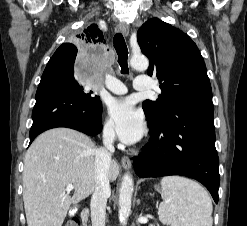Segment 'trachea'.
Segmentation results:
<instances>
[{
  "label": "trachea",
  "instance_id": "1",
  "mask_svg": "<svg viewBox=\"0 0 247 226\" xmlns=\"http://www.w3.org/2000/svg\"><path fill=\"white\" fill-rule=\"evenodd\" d=\"M114 47L118 54V63L121 67L122 74H128L129 68L127 64L128 60V48L125 43L124 37L121 33H117L113 39Z\"/></svg>",
  "mask_w": 247,
  "mask_h": 226
}]
</instances>
